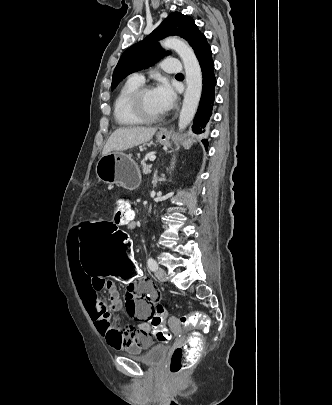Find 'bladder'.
I'll return each instance as SVG.
<instances>
[{
    "instance_id": "31cf9c89",
    "label": "bladder",
    "mask_w": 332,
    "mask_h": 405,
    "mask_svg": "<svg viewBox=\"0 0 332 405\" xmlns=\"http://www.w3.org/2000/svg\"><path fill=\"white\" fill-rule=\"evenodd\" d=\"M167 346L165 345H156L150 350L146 352H139L134 349H125V353L134 359L140 361L141 363L148 365V366H155L160 364L166 354H167Z\"/></svg>"
}]
</instances>
